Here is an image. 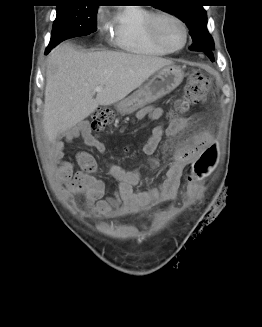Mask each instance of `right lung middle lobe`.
<instances>
[{
    "mask_svg": "<svg viewBox=\"0 0 262 327\" xmlns=\"http://www.w3.org/2000/svg\"><path fill=\"white\" fill-rule=\"evenodd\" d=\"M81 3V1L62 2L57 6V15L46 53L65 39L89 35L96 31L98 6L93 5V1H87L89 5Z\"/></svg>",
    "mask_w": 262,
    "mask_h": 327,
    "instance_id": "1",
    "label": "right lung middle lobe"
}]
</instances>
